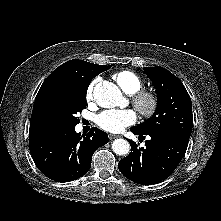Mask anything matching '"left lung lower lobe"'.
<instances>
[{"mask_svg": "<svg viewBox=\"0 0 221 221\" xmlns=\"http://www.w3.org/2000/svg\"><path fill=\"white\" fill-rule=\"evenodd\" d=\"M135 135L144 138V134L133 128ZM145 147L138 148L134 141L129 140L131 152L119 161L121 173L131 181L139 184H156L166 179L182 160L189 139L168 133H150Z\"/></svg>", "mask_w": 221, "mask_h": 221, "instance_id": "left-lung-lower-lobe-1", "label": "left lung lower lobe"}]
</instances>
